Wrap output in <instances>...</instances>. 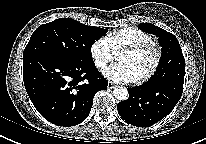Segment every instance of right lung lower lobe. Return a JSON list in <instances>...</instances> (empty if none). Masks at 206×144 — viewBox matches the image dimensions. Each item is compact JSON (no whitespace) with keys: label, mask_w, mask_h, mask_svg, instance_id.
Here are the masks:
<instances>
[{"label":"right lung lower lobe","mask_w":206,"mask_h":144,"mask_svg":"<svg viewBox=\"0 0 206 144\" xmlns=\"http://www.w3.org/2000/svg\"><path fill=\"white\" fill-rule=\"evenodd\" d=\"M23 80L36 110L58 126H74L89 115L95 94L108 81L93 62L77 63L47 55L23 57Z\"/></svg>","instance_id":"obj_1"}]
</instances>
